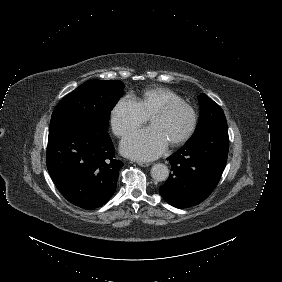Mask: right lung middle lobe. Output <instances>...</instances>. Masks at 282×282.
Wrapping results in <instances>:
<instances>
[{"instance_id":"obj_1","label":"right lung middle lobe","mask_w":282,"mask_h":282,"mask_svg":"<svg viewBox=\"0 0 282 282\" xmlns=\"http://www.w3.org/2000/svg\"><path fill=\"white\" fill-rule=\"evenodd\" d=\"M124 83L118 80H89L65 96L55 107L49 131L81 121L106 133L110 112L123 95Z\"/></svg>"}]
</instances>
